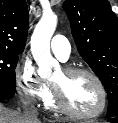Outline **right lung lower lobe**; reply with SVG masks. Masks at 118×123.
Instances as JSON below:
<instances>
[{"instance_id":"right-lung-lower-lobe-1","label":"right lung lower lobe","mask_w":118,"mask_h":123,"mask_svg":"<svg viewBox=\"0 0 118 123\" xmlns=\"http://www.w3.org/2000/svg\"><path fill=\"white\" fill-rule=\"evenodd\" d=\"M16 91L0 90V100H8L15 95Z\"/></svg>"}]
</instances>
